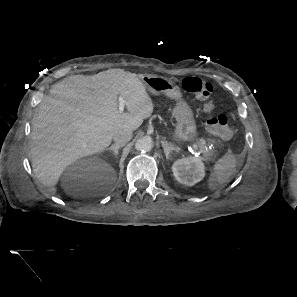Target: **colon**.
I'll list each match as a JSON object with an SVG mask.
<instances>
[{
  "instance_id": "1",
  "label": "colon",
  "mask_w": 297,
  "mask_h": 297,
  "mask_svg": "<svg viewBox=\"0 0 297 297\" xmlns=\"http://www.w3.org/2000/svg\"><path fill=\"white\" fill-rule=\"evenodd\" d=\"M182 88L186 92L194 94L203 101V109L209 114L206 125L208 130L221 138H229L231 130L229 128V119L224 113H214V105L211 100L213 86L197 77H186L182 81Z\"/></svg>"
}]
</instances>
